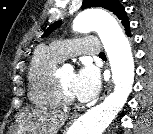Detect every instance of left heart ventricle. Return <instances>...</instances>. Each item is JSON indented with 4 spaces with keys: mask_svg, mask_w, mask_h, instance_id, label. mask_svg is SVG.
Instances as JSON below:
<instances>
[{
    "mask_svg": "<svg viewBox=\"0 0 153 134\" xmlns=\"http://www.w3.org/2000/svg\"><path fill=\"white\" fill-rule=\"evenodd\" d=\"M62 83L65 91L71 97H75L73 93V83L75 78V73L73 71H64L57 77Z\"/></svg>",
    "mask_w": 153,
    "mask_h": 134,
    "instance_id": "left-heart-ventricle-1",
    "label": "left heart ventricle"
}]
</instances>
